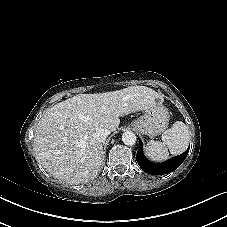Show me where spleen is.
<instances>
[{"instance_id": "spleen-1", "label": "spleen", "mask_w": 227, "mask_h": 227, "mask_svg": "<svg viewBox=\"0 0 227 227\" xmlns=\"http://www.w3.org/2000/svg\"><path fill=\"white\" fill-rule=\"evenodd\" d=\"M189 140V128L185 123L176 121L162 134V142L151 140L146 144L145 153L153 161H163L168 159L169 152L172 155L184 152Z\"/></svg>"}]
</instances>
